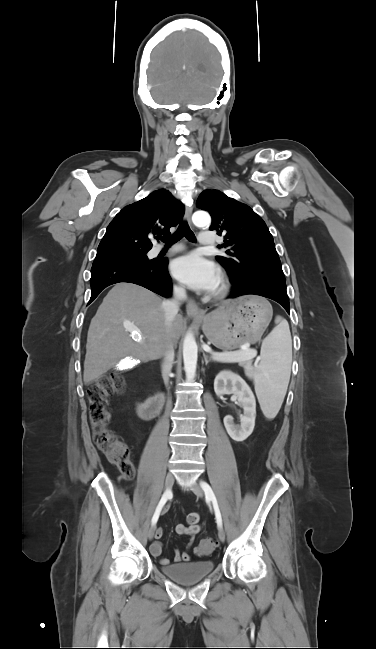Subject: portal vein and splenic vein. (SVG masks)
<instances>
[{
  "label": "portal vein and splenic vein",
  "instance_id": "1",
  "mask_svg": "<svg viewBox=\"0 0 376 649\" xmlns=\"http://www.w3.org/2000/svg\"><path fill=\"white\" fill-rule=\"evenodd\" d=\"M126 328L131 332L133 338H136V341L140 340V334L135 330V326L133 324H128L126 325ZM242 350H246L247 353L245 354H239L236 352H227V353H213V360L217 362H228V363H234V362H242L246 360H250L256 356L255 351H249L246 348H242Z\"/></svg>",
  "mask_w": 376,
  "mask_h": 649
}]
</instances>
